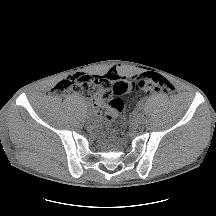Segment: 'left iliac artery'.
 <instances>
[{
	"label": "left iliac artery",
	"mask_w": 216,
	"mask_h": 216,
	"mask_svg": "<svg viewBox=\"0 0 216 216\" xmlns=\"http://www.w3.org/2000/svg\"><path fill=\"white\" fill-rule=\"evenodd\" d=\"M137 108L142 109L143 108V103H140Z\"/></svg>",
	"instance_id": "left-iliac-artery-1"
}]
</instances>
